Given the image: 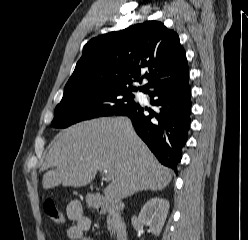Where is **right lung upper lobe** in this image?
<instances>
[{
  "label": "right lung upper lobe",
  "instance_id": "cb5924a9",
  "mask_svg": "<svg viewBox=\"0 0 248 240\" xmlns=\"http://www.w3.org/2000/svg\"><path fill=\"white\" fill-rule=\"evenodd\" d=\"M187 69L178 34L162 22L146 21L91 39L64 90L125 88L144 92ZM144 70L147 71L141 76ZM143 78L144 85L131 86L133 81L141 83Z\"/></svg>",
  "mask_w": 248,
  "mask_h": 240
}]
</instances>
